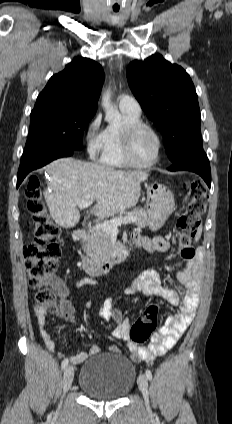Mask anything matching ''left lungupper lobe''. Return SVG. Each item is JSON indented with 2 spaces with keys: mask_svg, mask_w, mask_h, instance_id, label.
Listing matches in <instances>:
<instances>
[{
  "mask_svg": "<svg viewBox=\"0 0 232 424\" xmlns=\"http://www.w3.org/2000/svg\"><path fill=\"white\" fill-rule=\"evenodd\" d=\"M127 79L148 118L161 130L174 162L192 142L201 139V115L194 84L187 72L161 55L133 61Z\"/></svg>",
  "mask_w": 232,
  "mask_h": 424,
  "instance_id": "5c2ea615",
  "label": "left lung upper lobe"
}]
</instances>
